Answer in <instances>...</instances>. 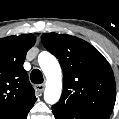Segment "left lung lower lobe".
Wrapping results in <instances>:
<instances>
[{
    "mask_svg": "<svg viewBox=\"0 0 119 119\" xmlns=\"http://www.w3.org/2000/svg\"><path fill=\"white\" fill-rule=\"evenodd\" d=\"M52 112L55 116V119H109L108 115L83 113L56 106L52 107Z\"/></svg>",
    "mask_w": 119,
    "mask_h": 119,
    "instance_id": "1",
    "label": "left lung lower lobe"
}]
</instances>
